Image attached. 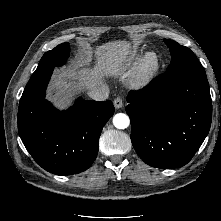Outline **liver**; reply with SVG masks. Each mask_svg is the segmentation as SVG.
<instances>
[{
    "label": "liver",
    "instance_id": "1",
    "mask_svg": "<svg viewBox=\"0 0 221 221\" xmlns=\"http://www.w3.org/2000/svg\"><path fill=\"white\" fill-rule=\"evenodd\" d=\"M127 48L128 44L124 42L104 44L96 48L98 63L92 70L77 63L72 68L56 72L50 86L55 104L63 107L69 103L75 80L80 88L93 89L102 85L103 76L124 60Z\"/></svg>",
    "mask_w": 221,
    "mask_h": 221
}]
</instances>
